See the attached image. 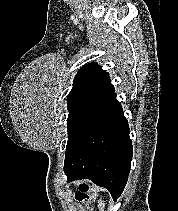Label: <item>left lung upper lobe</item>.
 Listing matches in <instances>:
<instances>
[{
    "instance_id": "5c2ea615",
    "label": "left lung upper lobe",
    "mask_w": 178,
    "mask_h": 211,
    "mask_svg": "<svg viewBox=\"0 0 178 211\" xmlns=\"http://www.w3.org/2000/svg\"><path fill=\"white\" fill-rule=\"evenodd\" d=\"M113 94L110 77L98 64L90 63L81 67L67 97L69 115L65 160L95 125Z\"/></svg>"
}]
</instances>
